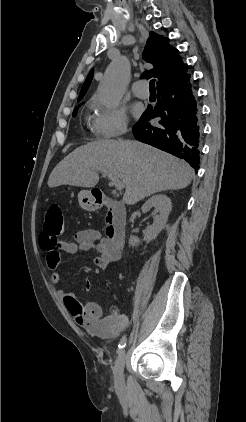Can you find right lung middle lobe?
<instances>
[{
    "instance_id": "right-lung-middle-lobe-1",
    "label": "right lung middle lobe",
    "mask_w": 246,
    "mask_h": 422,
    "mask_svg": "<svg viewBox=\"0 0 246 422\" xmlns=\"http://www.w3.org/2000/svg\"><path fill=\"white\" fill-rule=\"evenodd\" d=\"M80 106H81V105L77 106V107L74 109V111H73V116H76L77 111H78V109H79V107H80Z\"/></svg>"
}]
</instances>
